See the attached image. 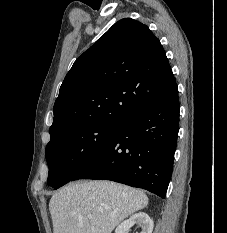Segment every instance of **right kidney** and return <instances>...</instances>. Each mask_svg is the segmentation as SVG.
<instances>
[{
  "instance_id": "ca27d5eb",
  "label": "right kidney",
  "mask_w": 227,
  "mask_h": 233,
  "mask_svg": "<svg viewBox=\"0 0 227 233\" xmlns=\"http://www.w3.org/2000/svg\"><path fill=\"white\" fill-rule=\"evenodd\" d=\"M137 224L141 227L140 233H152L154 223L153 220L144 212H138L129 219L123 221L115 230V233H128L130 228Z\"/></svg>"
}]
</instances>
